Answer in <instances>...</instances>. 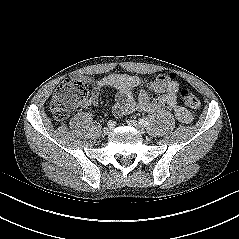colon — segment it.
<instances>
[{"label":"colon","instance_id":"colon-1","mask_svg":"<svg viewBox=\"0 0 239 239\" xmlns=\"http://www.w3.org/2000/svg\"><path fill=\"white\" fill-rule=\"evenodd\" d=\"M174 79L173 75H169ZM87 85L76 79H65L56 88L50 103V109L55 119L64 120L70 112L82 104L88 97ZM182 102L190 107L197 108L200 105L197 96L186 88L179 90Z\"/></svg>","mask_w":239,"mask_h":239}]
</instances>
